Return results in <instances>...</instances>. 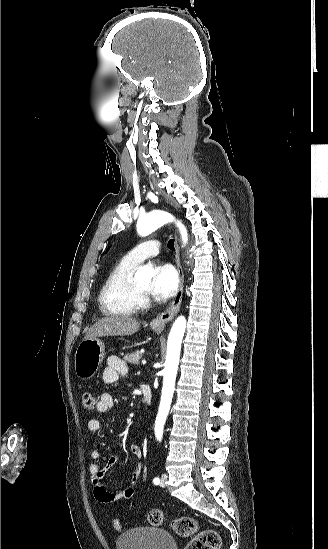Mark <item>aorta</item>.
I'll list each match as a JSON object with an SVG mask.
<instances>
[{
    "label": "aorta",
    "mask_w": 328,
    "mask_h": 549,
    "mask_svg": "<svg viewBox=\"0 0 328 549\" xmlns=\"http://www.w3.org/2000/svg\"><path fill=\"white\" fill-rule=\"evenodd\" d=\"M175 221V218L168 212L156 210L144 216H140L137 221V232L141 236H147L168 222ZM179 228L182 241L186 244L188 240L186 228L179 221H175ZM153 276V270L150 267H142L135 274V279L139 282L149 283ZM186 329V319L179 316L172 325L167 341V354L165 368L163 370V387L158 414L155 421V435L160 441L163 436V429L167 419L172 397L175 388V380L179 365L182 339Z\"/></svg>",
    "instance_id": "762f6f07"
}]
</instances>
